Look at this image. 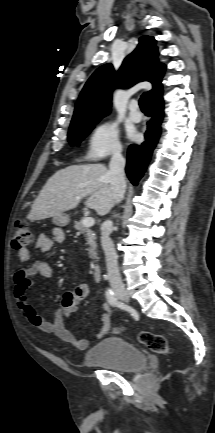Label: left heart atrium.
Masks as SVG:
<instances>
[{
    "label": "left heart atrium",
    "instance_id": "1",
    "mask_svg": "<svg viewBox=\"0 0 215 433\" xmlns=\"http://www.w3.org/2000/svg\"><path fill=\"white\" fill-rule=\"evenodd\" d=\"M131 136H132V137H134V136H135V134H134V133H132V134H131Z\"/></svg>",
    "mask_w": 215,
    "mask_h": 433
}]
</instances>
